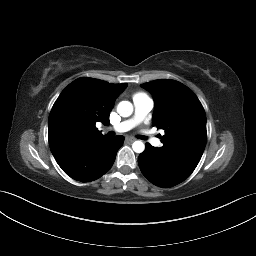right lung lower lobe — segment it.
Instances as JSON below:
<instances>
[{
    "instance_id": "obj_1",
    "label": "right lung lower lobe",
    "mask_w": 256,
    "mask_h": 256,
    "mask_svg": "<svg viewBox=\"0 0 256 256\" xmlns=\"http://www.w3.org/2000/svg\"><path fill=\"white\" fill-rule=\"evenodd\" d=\"M124 139L121 135L113 138L102 136L72 145L53 155L68 176L81 182H90L100 178L112 167Z\"/></svg>"
}]
</instances>
